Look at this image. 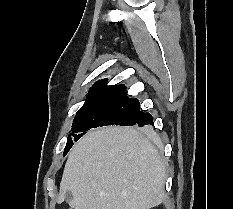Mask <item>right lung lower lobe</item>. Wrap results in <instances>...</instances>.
Returning <instances> with one entry per match:
<instances>
[{
	"instance_id": "1",
	"label": "right lung lower lobe",
	"mask_w": 233,
	"mask_h": 209,
	"mask_svg": "<svg viewBox=\"0 0 233 209\" xmlns=\"http://www.w3.org/2000/svg\"><path fill=\"white\" fill-rule=\"evenodd\" d=\"M152 124H153L152 116L149 113H144V112H142L140 118L136 122V125H138L139 127L152 125Z\"/></svg>"
}]
</instances>
